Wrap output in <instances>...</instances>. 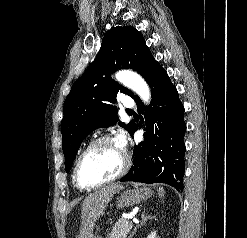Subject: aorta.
<instances>
[{
	"mask_svg": "<svg viewBox=\"0 0 247 238\" xmlns=\"http://www.w3.org/2000/svg\"><path fill=\"white\" fill-rule=\"evenodd\" d=\"M116 79L127 88L133 90L145 103H149L150 90L140 75L131 71H121L116 74Z\"/></svg>",
	"mask_w": 247,
	"mask_h": 238,
	"instance_id": "obj_1",
	"label": "aorta"
}]
</instances>
